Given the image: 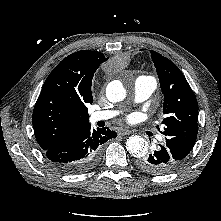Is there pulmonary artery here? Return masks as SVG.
Here are the masks:
<instances>
[{
	"label": "pulmonary artery",
	"instance_id": "1",
	"mask_svg": "<svg viewBox=\"0 0 221 221\" xmlns=\"http://www.w3.org/2000/svg\"><path fill=\"white\" fill-rule=\"evenodd\" d=\"M156 88V81L150 76H139L134 84V99L136 102L147 100ZM119 114L116 110L96 111L90 115V122L108 120Z\"/></svg>",
	"mask_w": 221,
	"mask_h": 221
}]
</instances>
